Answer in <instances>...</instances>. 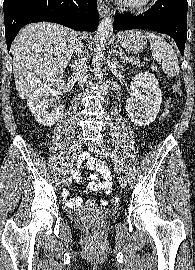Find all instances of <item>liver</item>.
I'll return each mask as SVG.
<instances>
[{
  "label": "liver",
  "instance_id": "liver-1",
  "mask_svg": "<svg viewBox=\"0 0 195 270\" xmlns=\"http://www.w3.org/2000/svg\"><path fill=\"white\" fill-rule=\"evenodd\" d=\"M77 33L55 23L27 25L11 46L16 89L21 99L56 79L67 67L74 52Z\"/></svg>",
  "mask_w": 195,
  "mask_h": 270
}]
</instances>
